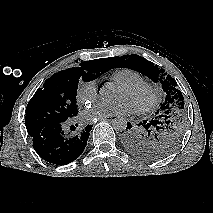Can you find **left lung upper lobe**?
I'll return each mask as SVG.
<instances>
[{
    "label": "left lung upper lobe",
    "instance_id": "1",
    "mask_svg": "<svg viewBox=\"0 0 213 213\" xmlns=\"http://www.w3.org/2000/svg\"><path fill=\"white\" fill-rule=\"evenodd\" d=\"M109 65L111 68L125 67L138 71L162 85L166 98L160 103L155 117L150 121L144 120L146 127L140 129L136 144L130 151L141 158L153 160L171 154L180 144L186 127L184 97L177 89L175 79L138 55L110 58Z\"/></svg>",
    "mask_w": 213,
    "mask_h": 213
}]
</instances>
